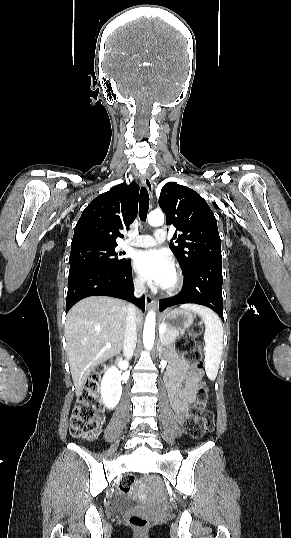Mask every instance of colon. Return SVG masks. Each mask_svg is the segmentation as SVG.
<instances>
[{
    "label": "colon",
    "instance_id": "colon-1",
    "mask_svg": "<svg viewBox=\"0 0 291 538\" xmlns=\"http://www.w3.org/2000/svg\"><path fill=\"white\" fill-rule=\"evenodd\" d=\"M199 331L200 326L196 325L191 334L178 338L175 341V346L190 363L201 370L203 368V362L195 346L194 338ZM105 373L106 368L104 366L96 368L87 378L78 396L70 420L71 433L76 437L92 440L99 433L103 415V407L99 398V383ZM208 397L209 388L202 381L197 391V401L186 412L184 423L185 428L195 438H199L209 432L214 425L213 415L205 411ZM133 485L134 477L125 475L121 479L120 490L128 494L131 492ZM128 523L138 534L145 533L149 526L148 519L139 514H131L128 517Z\"/></svg>",
    "mask_w": 291,
    "mask_h": 538
}]
</instances>
